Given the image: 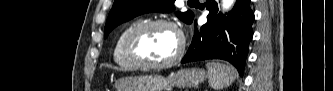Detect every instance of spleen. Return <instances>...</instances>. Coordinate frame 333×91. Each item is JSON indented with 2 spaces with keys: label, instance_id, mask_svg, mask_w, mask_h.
Wrapping results in <instances>:
<instances>
[{
  "label": "spleen",
  "instance_id": "3e777b00",
  "mask_svg": "<svg viewBox=\"0 0 333 91\" xmlns=\"http://www.w3.org/2000/svg\"><path fill=\"white\" fill-rule=\"evenodd\" d=\"M206 66L209 85L216 91L230 86L237 78V70L231 65L209 62Z\"/></svg>",
  "mask_w": 333,
  "mask_h": 91
}]
</instances>
